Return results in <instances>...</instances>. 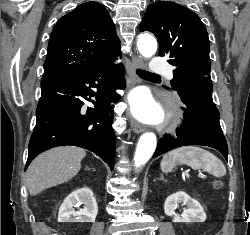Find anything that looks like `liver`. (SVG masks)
Wrapping results in <instances>:
<instances>
[{"instance_id":"obj_1","label":"liver","mask_w":250,"mask_h":235,"mask_svg":"<svg viewBox=\"0 0 250 235\" xmlns=\"http://www.w3.org/2000/svg\"><path fill=\"white\" fill-rule=\"evenodd\" d=\"M86 152L82 148L61 146L36 157L26 174V185L34 196L43 190L67 182L81 169Z\"/></svg>"}]
</instances>
